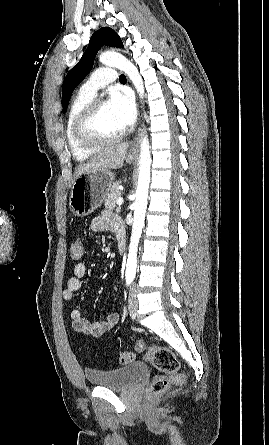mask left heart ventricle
<instances>
[{
	"instance_id": "left-heart-ventricle-1",
	"label": "left heart ventricle",
	"mask_w": 269,
	"mask_h": 445,
	"mask_svg": "<svg viewBox=\"0 0 269 445\" xmlns=\"http://www.w3.org/2000/svg\"><path fill=\"white\" fill-rule=\"evenodd\" d=\"M94 130L97 134L112 135L120 132L124 127L119 123L107 102L104 103L94 121Z\"/></svg>"
}]
</instances>
